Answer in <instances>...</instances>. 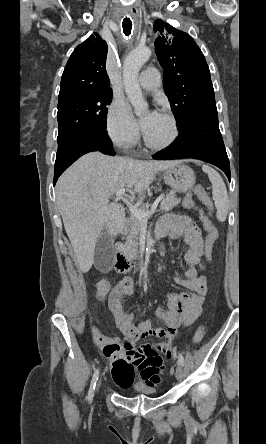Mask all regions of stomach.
I'll return each mask as SVG.
<instances>
[{
	"label": "stomach",
	"instance_id": "1",
	"mask_svg": "<svg viewBox=\"0 0 266 444\" xmlns=\"http://www.w3.org/2000/svg\"><path fill=\"white\" fill-rule=\"evenodd\" d=\"M162 177L173 190L178 192H186L195 184L193 170L181 162L164 170Z\"/></svg>",
	"mask_w": 266,
	"mask_h": 444
}]
</instances>
